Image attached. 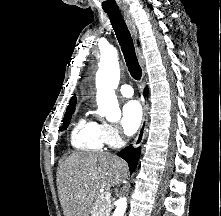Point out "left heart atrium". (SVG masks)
Listing matches in <instances>:
<instances>
[{"label":"left heart atrium","mask_w":221,"mask_h":216,"mask_svg":"<svg viewBox=\"0 0 221 216\" xmlns=\"http://www.w3.org/2000/svg\"><path fill=\"white\" fill-rule=\"evenodd\" d=\"M142 108L137 101H129L122 108L121 126L128 136L139 129L142 122Z\"/></svg>","instance_id":"obj_1"}]
</instances>
